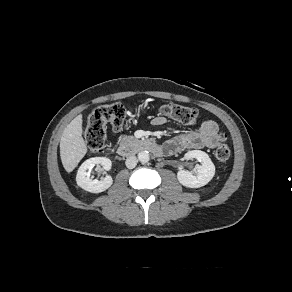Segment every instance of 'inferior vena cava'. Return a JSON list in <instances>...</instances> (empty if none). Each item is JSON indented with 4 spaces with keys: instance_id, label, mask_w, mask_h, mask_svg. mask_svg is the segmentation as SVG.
Listing matches in <instances>:
<instances>
[{
    "instance_id": "inferior-vena-cava-1",
    "label": "inferior vena cava",
    "mask_w": 292,
    "mask_h": 292,
    "mask_svg": "<svg viewBox=\"0 0 292 292\" xmlns=\"http://www.w3.org/2000/svg\"><path fill=\"white\" fill-rule=\"evenodd\" d=\"M126 167L133 169L137 165V158L135 156H130L125 161Z\"/></svg>"
}]
</instances>
